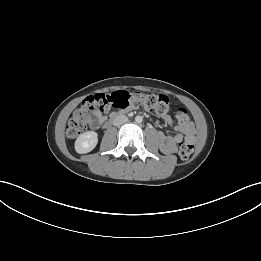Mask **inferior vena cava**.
<instances>
[{
	"label": "inferior vena cava",
	"mask_w": 261,
	"mask_h": 261,
	"mask_svg": "<svg viewBox=\"0 0 261 261\" xmlns=\"http://www.w3.org/2000/svg\"><path fill=\"white\" fill-rule=\"evenodd\" d=\"M128 121V117L125 116V115H120V116H117L114 121H113V124L115 126H120L124 123H126Z\"/></svg>",
	"instance_id": "602c4592"
}]
</instances>
